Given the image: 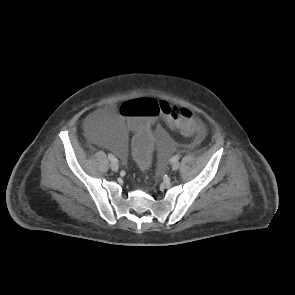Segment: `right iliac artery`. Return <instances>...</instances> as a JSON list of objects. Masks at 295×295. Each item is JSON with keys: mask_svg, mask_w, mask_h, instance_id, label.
I'll return each mask as SVG.
<instances>
[{"mask_svg": "<svg viewBox=\"0 0 295 295\" xmlns=\"http://www.w3.org/2000/svg\"><path fill=\"white\" fill-rule=\"evenodd\" d=\"M108 158L111 160V162H117L118 161L117 158L114 155H112L111 153L108 154Z\"/></svg>", "mask_w": 295, "mask_h": 295, "instance_id": "1", "label": "right iliac artery"}]
</instances>
